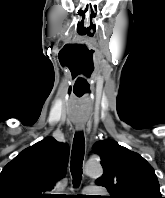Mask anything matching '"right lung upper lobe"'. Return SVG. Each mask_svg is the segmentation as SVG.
<instances>
[{
  "label": "right lung upper lobe",
  "mask_w": 165,
  "mask_h": 198,
  "mask_svg": "<svg viewBox=\"0 0 165 198\" xmlns=\"http://www.w3.org/2000/svg\"><path fill=\"white\" fill-rule=\"evenodd\" d=\"M67 144L46 137L26 148L0 173V198H46L57 180L65 176Z\"/></svg>",
  "instance_id": "obj_1"
}]
</instances>
